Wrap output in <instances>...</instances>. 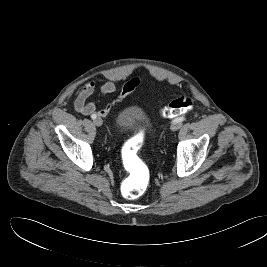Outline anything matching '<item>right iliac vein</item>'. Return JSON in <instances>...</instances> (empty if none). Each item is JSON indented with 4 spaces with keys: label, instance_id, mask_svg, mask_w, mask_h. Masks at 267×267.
<instances>
[{
    "label": "right iliac vein",
    "instance_id": "1",
    "mask_svg": "<svg viewBox=\"0 0 267 267\" xmlns=\"http://www.w3.org/2000/svg\"><path fill=\"white\" fill-rule=\"evenodd\" d=\"M93 123H94V125L100 127L103 124V120L100 117H98V118L94 119Z\"/></svg>",
    "mask_w": 267,
    "mask_h": 267
}]
</instances>
